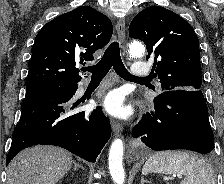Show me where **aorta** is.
<instances>
[{"instance_id": "aorta-1", "label": "aorta", "mask_w": 224, "mask_h": 184, "mask_svg": "<svg viewBox=\"0 0 224 184\" xmlns=\"http://www.w3.org/2000/svg\"><path fill=\"white\" fill-rule=\"evenodd\" d=\"M128 53L130 57L141 56L144 53V46L139 41H133L129 44ZM123 152L122 139H115L109 152V171L115 184H124L125 182V172L122 165Z\"/></svg>"}]
</instances>
